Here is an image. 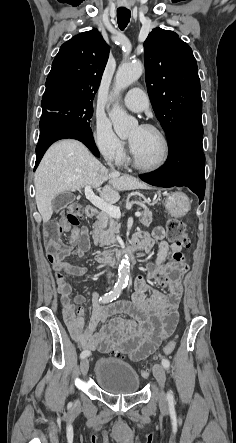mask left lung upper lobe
<instances>
[{
    "label": "left lung upper lobe",
    "instance_id": "5c2ea615",
    "mask_svg": "<svg viewBox=\"0 0 236 443\" xmlns=\"http://www.w3.org/2000/svg\"><path fill=\"white\" fill-rule=\"evenodd\" d=\"M145 81L155 115L168 139L182 125L201 122L196 59L178 35L155 28L144 43Z\"/></svg>",
    "mask_w": 236,
    "mask_h": 443
}]
</instances>
